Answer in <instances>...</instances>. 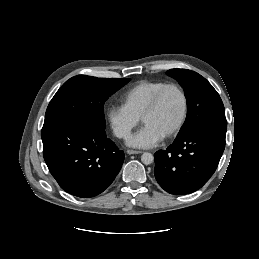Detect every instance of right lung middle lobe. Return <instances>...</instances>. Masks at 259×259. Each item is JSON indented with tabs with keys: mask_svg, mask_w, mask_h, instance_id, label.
Instances as JSON below:
<instances>
[{
	"mask_svg": "<svg viewBox=\"0 0 259 259\" xmlns=\"http://www.w3.org/2000/svg\"><path fill=\"white\" fill-rule=\"evenodd\" d=\"M128 78L99 79L78 75L66 81L50 101L44 125L80 119L105 129L104 103Z\"/></svg>",
	"mask_w": 259,
	"mask_h": 259,
	"instance_id": "dd1d6c3e",
	"label": "right lung middle lobe"
}]
</instances>
